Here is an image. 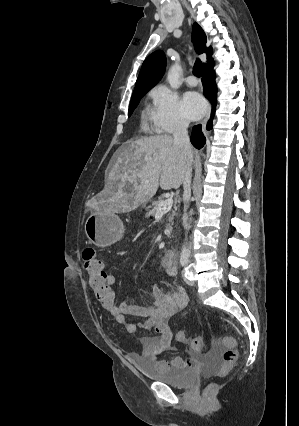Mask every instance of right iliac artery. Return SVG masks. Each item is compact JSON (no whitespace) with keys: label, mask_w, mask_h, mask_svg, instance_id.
<instances>
[{"label":"right iliac artery","mask_w":299,"mask_h":426,"mask_svg":"<svg viewBox=\"0 0 299 426\" xmlns=\"http://www.w3.org/2000/svg\"><path fill=\"white\" fill-rule=\"evenodd\" d=\"M185 264H186V262H185V261H182V262H181V265H182V266H185Z\"/></svg>","instance_id":"right-iliac-artery-1"}]
</instances>
